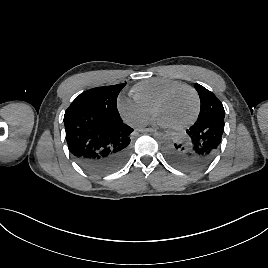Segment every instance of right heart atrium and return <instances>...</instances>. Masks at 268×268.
<instances>
[{
  "instance_id": "d8ad5b80",
  "label": "right heart atrium",
  "mask_w": 268,
  "mask_h": 268,
  "mask_svg": "<svg viewBox=\"0 0 268 268\" xmlns=\"http://www.w3.org/2000/svg\"><path fill=\"white\" fill-rule=\"evenodd\" d=\"M117 108L121 116L134 125H144L152 117V110L150 108L125 96L118 98Z\"/></svg>"
}]
</instances>
